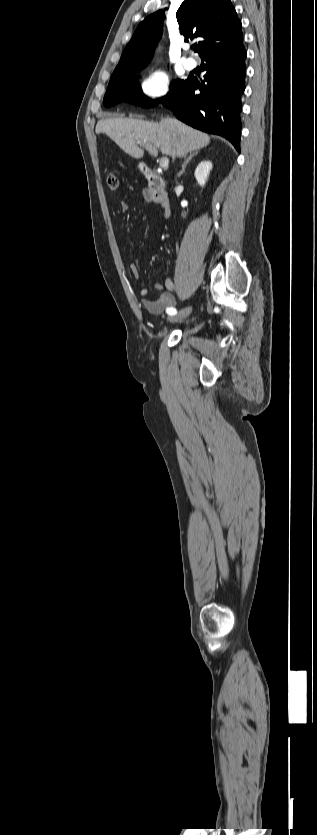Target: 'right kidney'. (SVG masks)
I'll return each mask as SVG.
<instances>
[{
	"label": "right kidney",
	"instance_id": "ca27d5eb",
	"mask_svg": "<svg viewBox=\"0 0 317 835\" xmlns=\"http://www.w3.org/2000/svg\"><path fill=\"white\" fill-rule=\"evenodd\" d=\"M211 169L212 163L210 161H202L197 166L194 175L200 186L203 187L205 185Z\"/></svg>",
	"mask_w": 317,
	"mask_h": 835
}]
</instances>
